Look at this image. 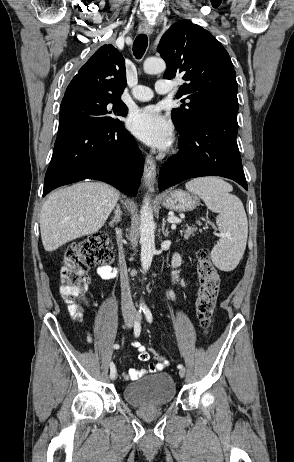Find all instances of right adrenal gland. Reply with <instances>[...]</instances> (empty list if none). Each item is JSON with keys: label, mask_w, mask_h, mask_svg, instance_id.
<instances>
[{"label": "right adrenal gland", "mask_w": 294, "mask_h": 462, "mask_svg": "<svg viewBox=\"0 0 294 462\" xmlns=\"http://www.w3.org/2000/svg\"><path fill=\"white\" fill-rule=\"evenodd\" d=\"M121 216H122V211H121L119 204H117L114 210V216L111 217L110 225L114 226L115 224H118L121 221Z\"/></svg>", "instance_id": "right-adrenal-gland-1"}]
</instances>
